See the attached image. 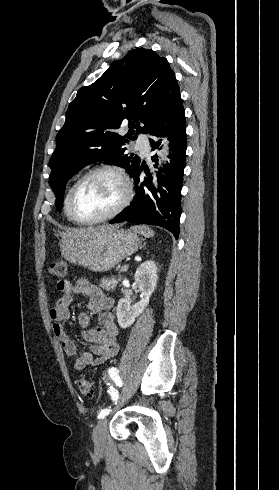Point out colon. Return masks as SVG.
Segmentation results:
<instances>
[{"label":"colon","instance_id":"colon-1","mask_svg":"<svg viewBox=\"0 0 279 490\" xmlns=\"http://www.w3.org/2000/svg\"><path fill=\"white\" fill-rule=\"evenodd\" d=\"M50 272L59 278L65 277V275L67 273L66 261L63 259H60V260L52 262L50 264ZM76 386H77L78 391H79L81 396L88 398V399L93 397V395H94L93 386H92L91 382L89 380H87L86 378L78 377L76 379Z\"/></svg>","mask_w":279,"mask_h":490}]
</instances>
